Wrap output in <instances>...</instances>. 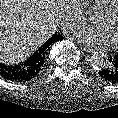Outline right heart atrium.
I'll list each match as a JSON object with an SVG mask.
<instances>
[{"label": "right heart atrium", "mask_w": 118, "mask_h": 118, "mask_svg": "<svg viewBox=\"0 0 118 118\" xmlns=\"http://www.w3.org/2000/svg\"><path fill=\"white\" fill-rule=\"evenodd\" d=\"M90 18V10L85 0H66L62 12V22L67 30L74 29Z\"/></svg>", "instance_id": "obj_1"}]
</instances>
